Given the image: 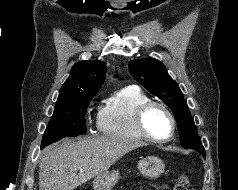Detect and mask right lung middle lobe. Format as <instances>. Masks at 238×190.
I'll list each match as a JSON object with an SVG mask.
<instances>
[{"instance_id": "obj_1", "label": "right lung middle lobe", "mask_w": 238, "mask_h": 190, "mask_svg": "<svg viewBox=\"0 0 238 190\" xmlns=\"http://www.w3.org/2000/svg\"><path fill=\"white\" fill-rule=\"evenodd\" d=\"M95 94H80L57 102L50 122L44 132L41 148L67 136H76L87 130L85 113Z\"/></svg>"}]
</instances>
